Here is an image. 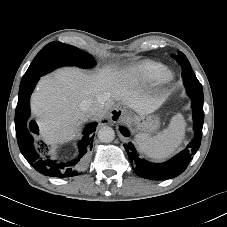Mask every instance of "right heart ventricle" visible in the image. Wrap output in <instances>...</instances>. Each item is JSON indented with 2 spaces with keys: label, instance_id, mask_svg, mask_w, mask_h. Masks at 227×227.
I'll use <instances>...</instances> for the list:
<instances>
[{
  "label": "right heart ventricle",
  "instance_id": "e07e8e85",
  "mask_svg": "<svg viewBox=\"0 0 227 227\" xmlns=\"http://www.w3.org/2000/svg\"><path fill=\"white\" fill-rule=\"evenodd\" d=\"M167 73V67L154 61H145L134 69V77L143 83H153L161 80Z\"/></svg>",
  "mask_w": 227,
  "mask_h": 227
}]
</instances>
